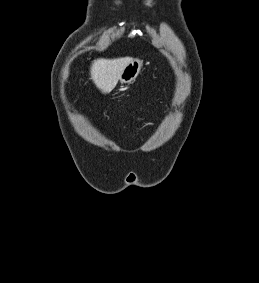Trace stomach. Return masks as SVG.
<instances>
[{"label": "stomach", "instance_id": "0dacf381", "mask_svg": "<svg viewBox=\"0 0 259 283\" xmlns=\"http://www.w3.org/2000/svg\"><path fill=\"white\" fill-rule=\"evenodd\" d=\"M143 63L139 59L132 60L123 70L120 76V82L123 84H129L136 79L141 71Z\"/></svg>", "mask_w": 259, "mask_h": 283}]
</instances>
